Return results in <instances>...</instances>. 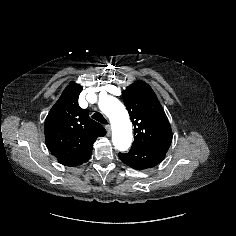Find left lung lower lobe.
Listing matches in <instances>:
<instances>
[{
    "mask_svg": "<svg viewBox=\"0 0 236 236\" xmlns=\"http://www.w3.org/2000/svg\"><path fill=\"white\" fill-rule=\"evenodd\" d=\"M167 151L168 148L132 146L128 153H119V158L133 169L145 170L161 163Z\"/></svg>",
    "mask_w": 236,
    "mask_h": 236,
    "instance_id": "obj_1",
    "label": "left lung lower lobe"
}]
</instances>
